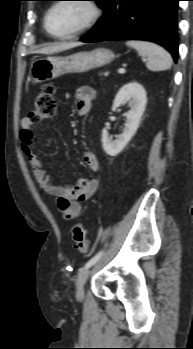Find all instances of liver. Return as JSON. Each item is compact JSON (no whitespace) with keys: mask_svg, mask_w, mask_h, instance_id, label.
<instances>
[{"mask_svg":"<svg viewBox=\"0 0 193 349\" xmlns=\"http://www.w3.org/2000/svg\"><path fill=\"white\" fill-rule=\"evenodd\" d=\"M80 42H63V43H57L49 46H45L39 50L36 51V53H41V54H53V53H58L62 52L68 49H72L74 47L80 46Z\"/></svg>","mask_w":193,"mask_h":349,"instance_id":"1","label":"liver"}]
</instances>
